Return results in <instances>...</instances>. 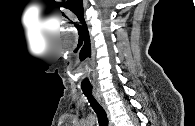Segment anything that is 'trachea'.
<instances>
[{
  "instance_id": "trachea-1",
  "label": "trachea",
  "mask_w": 195,
  "mask_h": 126,
  "mask_svg": "<svg viewBox=\"0 0 195 126\" xmlns=\"http://www.w3.org/2000/svg\"><path fill=\"white\" fill-rule=\"evenodd\" d=\"M84 95L87 97L90 105L97 114L98 122L100 126H108V118L104 108L99 104V102L94 98L92 94V87H82Z\"/></svg>"
}]
</instances>
